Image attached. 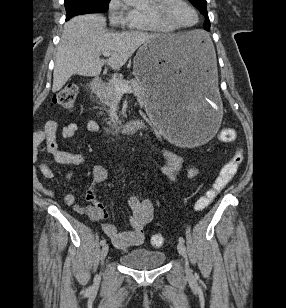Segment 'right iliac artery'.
<instances>
[{
	"label": "right iliac artery",
	"instance_id": "82829eb1",
	"mask_svg": "<svg viewBox=\"0 0 286 308\" xmlns=\"http://www.w3.org/2000/svg\"><path fill=\"white\" fill-rule=\"evenodd\" d=\"M100 244H101V245H105V244H106V239L103 238V239L100 241Z\"/></svg>",
	"mask_w": 286,
	"mask_h": 308
}]
</instances>
